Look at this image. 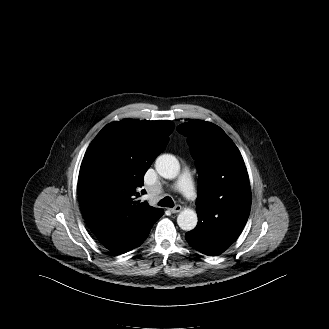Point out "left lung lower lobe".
I'll list each match as a JSON object with an SVG mask.
<instances>
[{
    "mask_svg": "<svg viewBox=\"0 0 329 329\" xmlns=\"http://www.w3.org/2000/svg\"><path fill=\"white\" fill-rule=\"evenodd\" d=\"M225 230L216 235H206L197 230L186 233L188 243L208 256L219 255L224 252L240 235L243 227L227 224Z\"/></svg>",
    "mask_w": 329,
    "mask_h": 329,
    "instance_id": "0a47b994",
    "label": "left lung lower lobe"
}]
</instances>
